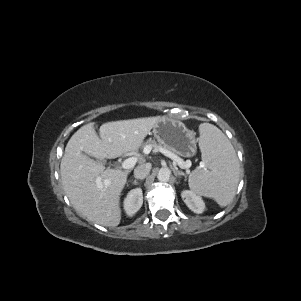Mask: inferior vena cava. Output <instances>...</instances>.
I'll return each instance as SVG.
<instances>
[{
	"label": "inferior vena cava",
	"mask_w": 301,
	"mask_h": 301,
	"mask_svg": "<svg viewBox=\"0 0 301 301\" xmlns=\"http://www.w3.org/2000/svg\"><path fill=\"white\" fill-rule=\"evenodd\" d=\"M151 165L150 164H142L135 168L134 177L136 179H144L150 172Z\"/></svg>",
	"instance_id": "obj_1"
}]
</instances>
